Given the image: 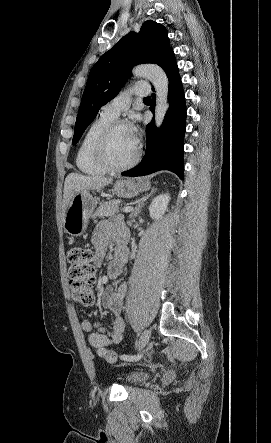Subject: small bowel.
Wrapping results in <instances>:
<instances>
[{
  "mask_svg": "<svg viewBox=\"0 0 271 443\" xmlns=\"http://www.w3.org/2000/svg\"><path fill=\"white\" fill-rule=\"evenodd\" d=\"M118 238L119 234L108 223H101L92 236L94 247V263L100 266L105 258L109 239ZM127 259L124 248H119L115 259L110 263L108 271L110 276H118ZM126 292L125 284H120L114 288H108L102 297V306L105 310L113 314L112 325L107 327L101 321L92 322L84 318L81 322L82 329L88 333L89 344L96 349H102L111 343H118L122 340L125 330V321L122 317V307Z\"/></svg>",
  "mask_w": 271,
  "mask_h": 443,
  "instance_id": "small-bowel-1",
  "label": "small bowel"
}]
</instances>
